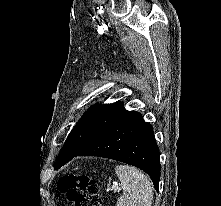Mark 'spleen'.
Listing matches in <instances>:
<instances>
[{
    "instance_id": "spleen-1",
    "label": "spleen",
    "mask_w": 221,
    "mask_h": 206,
    "mask_svg": "<svg viewBox=\"0 0 221 206\" xmlns=\"http://www.w3.org/2000/svg\"><path fill=\"white\" fill-rule=\"evenodd\" d=\"M115 171L123 188L117 206H151L153 187L144 173L128 165H117Z\"/></svg>"
}]
</instances>
